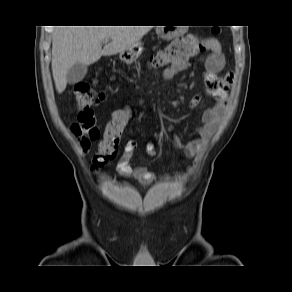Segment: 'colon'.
Instances as JSON below:
<instances>
[{
  "label": "colon",
  "instance_id": "colon-1",
  "mask_svg": "<svg viewBox=\"0 0 292 292\" xmlns=\"http://www.w3.org/2000/svg\"><path fill=\"white\" fill-rule=\"evenodd\" d=\"M207 49L197 37L189 36L176 40L151 59V65L156 68L169 67L175 63L186 61L190 56ZM74 97L78 110V120L70 127V132L76 139L79 148L87 152L91 144L100 139L97 152L93 156L92 168L98 170L113 160L117 154L121 135L129 120V112L125 109L113 113L110 121L101 131L96 123L93 106L103 100V94L94 90L88 83L79 82L74 87ZM146 154L149 158H157L159 151L153 144H148Z\"/></svg>",
  "mask_w": 292,
  "mask_h": 292
}]
</instances>
